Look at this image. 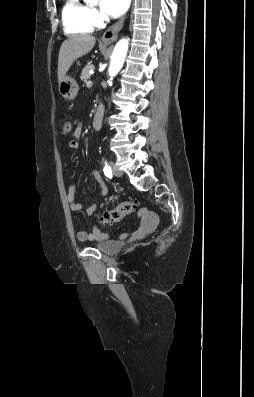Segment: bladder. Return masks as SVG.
<instances>
[{
    "mask_svg": "<svg viewBox=\"0 0 254 397\" xmlns=\"http://www.w3.org/2000/svg\"><path fill=\"white\" fill-rule=\"evenodd\" d=\"M96 248L103 254L114 255L121 250L122 244L116 240H104L98 243Z\"/></svg>",
    "mask_w": 254,
    "mask_h": 397,
    "instance_id": "31cf9c89",
    "label": "bladder"
}]
</instances>
